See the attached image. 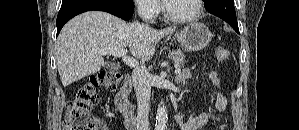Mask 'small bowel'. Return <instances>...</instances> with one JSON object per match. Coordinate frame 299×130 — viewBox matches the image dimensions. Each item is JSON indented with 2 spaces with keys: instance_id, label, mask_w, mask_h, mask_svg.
<instances>
[{
  "instance_id": "small-bowel-1",
  "label": "small bowel",
  "mask_w": 299,
  "mask_h": 130,
  "mask_svg": "<svg viewBox=\"0 0 299 130\" xmlns=\"http://www.w3.org/2000/svg\"><path fill=\"white\" fill-rule=\"evenodd\" d=\"M191 72L189 69L183 71L181 78H188ZM216 93V102L215 106L219 112H222L226 109L227 101L226 98L222 95L219 89H215ZM209 121H215L220 123V118L216 114L213 113H201L196 117L190 118L188 120H183L180 116L177 117V123L181 130H199L203 126H205ZM106 126V125H105ZM109 130V128L106 126ZM219 130L225 129V124L220 123Z\"/></svg>"
}]
</instances>
